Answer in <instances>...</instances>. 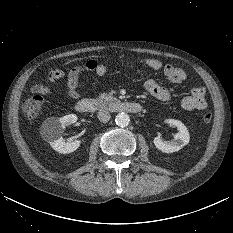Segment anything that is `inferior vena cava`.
<instances>
[{
  "instance_id": "inferior-vena-cava-1",
  "label": "inferior vena cava",
  "mask_w": 233,
  "mask_h": 233,
  "mask_svg": "<svg viewBox=\"0 0 233 233\" xmlns=\"http://www.w3.org/2000/svg\"><path fill=\"white\" fill-rule=\"evenodd\" d=\"M97 117L101 122L106 123L110 120L111 114L106 109H100Z\"/></svg>"
}]
</instances>
